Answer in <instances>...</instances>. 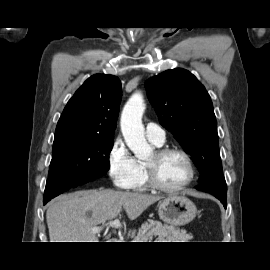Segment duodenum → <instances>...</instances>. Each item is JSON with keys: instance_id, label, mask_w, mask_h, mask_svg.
<instances>
[{"instance_id": "duodenum-1", "label": "duodenum", "mask_w": 270, "mask_h": 270, "mask_svg": "<svg viewBox=\"0 0 270 270\" xmlns=\"http://www.w3.org/2000/svg\"><path fill=\"white\" fill-rule=\"evenodd\" d=\"M111 242H117L116 239H110Z\"/></svg>"}]
</instances>
